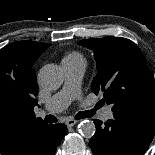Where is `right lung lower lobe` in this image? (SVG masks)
<instances>
[{"label":"right lung lower lobe","instance_id":"1","mask_svg":"<svg viewBox=\"0 0 155 155\" xmlns=\"http://www.w3.org/2000/svg\"><path fill=\"white\" fill-rule=\"evenodd\" d=\"M66 132L67 127L63 124H48L36 133L27 155H54Z\"/></svg>","mask_w":155,"mask_h":155}]
</instances>
